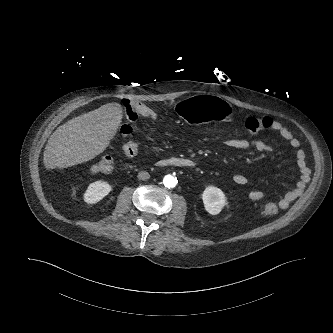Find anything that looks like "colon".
Listing matches in <instances>:
<instances>
[{
	"mask_svg": "<svg viewBox=\"0 0 333 333\" xmlns=\"http://www.w3.org/2000/svg\"><path fill=\"white\" fill-rule=\"evenodd\" d=\"M125 122L121 131L125 135H130L134 130V123L140 115L156 119L157 112L138 102H124ZM272 119L269 117H249L245 120L246 130L253 134H259L272 125ZM115 159L111 156H103L97 159L92 165V171L96 173H109L114 169ZM278 212V205L275 202H266L261 206V213L264 215H275Z\"/></svg>",
	"mask_w": 333,
	"mask_h": 333,
	"instance_id": "colon-1",
	"label": "colon"
}]
</instances>
